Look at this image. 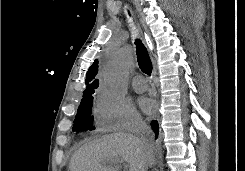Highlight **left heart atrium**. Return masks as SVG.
I'll list each match as a JSON object with an SVG mask.
<instances>
[{"label":"left heart atrium","instance_id":"obj_1","mask_svg":"<svg viewBox=\"0 0 245 171\" xmlns=\"http://www.w3.org/2000/svg\"><path fill=\"white\" fill-rule=\"evenodd\" d=\"M139 104H140V107L142 108V110L146 113L152 112V110L155 107L154 102L151 99L145 98V97L140 98Z\"/></svg>","mask_w":245,"mask_h":171}]
</instances>
